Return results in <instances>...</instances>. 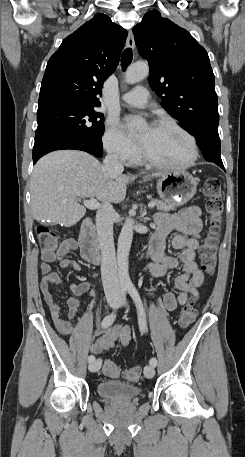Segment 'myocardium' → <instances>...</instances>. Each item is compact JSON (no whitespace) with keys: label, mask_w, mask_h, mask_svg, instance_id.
Returning a JSON list of instances; mask_svg holds the SVG:
<instances>
[{"label":"myocardium","mask_w":245,"mask_h":457,"mask_svg":"<svg viewBox=\"0 0 245 457\" xmlns=\"http://www.w3.org/2000/svg\"><path fill=\"white\" fill-rule=\"evenodd\" d=\"M164 127L176 129L179 132H181L188 139V141H189L188 159L180 164H171V163L157 160V159L145 154L138 148V153H139L141 159L144 162H146L148 165L158 168V169H163V170H171V171L184 170V169L191 167L193 165V163L195 162L197 155H198L196 141H195L194 137L187 130H185L183 127H181L178 123H176L172 120H169V119L160 120L158 123H156L154 128H164Z\"/></svg>","instance_id":"myocardium-1"}]
</instances>
